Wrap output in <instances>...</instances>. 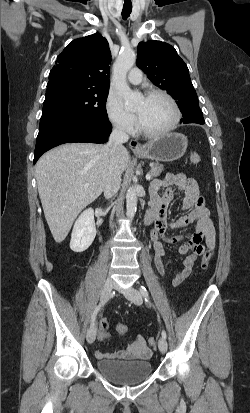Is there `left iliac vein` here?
Wrapping results in <instances>:
<instances>
[{"label": "left iliac vein", "mask_w": 250, "mask_h": 413, "mask_svg": "<svg viewBox=\"0 0 250 413\" xmlns=\"http://www.w3.org/2000/svg\"><path fill=\"white\" fill-rule=\"evenodd\" d=\"M124 295L125 297L131 301L132 303L136 304V305H141L142 304V295L141 293L135 289L134 287H130L128 289H119ZM167 341L165 338L161 337L158 341V347L159 350L162 353H165L167 351Z\"/></svg>", "instance_id": "1"}]
</instances>
